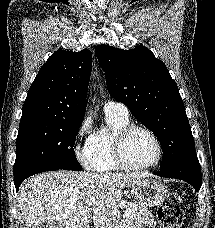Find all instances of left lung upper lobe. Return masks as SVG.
Segmentation results:
<instances>
[{
  "label": "left lung upper lobe",
  "instance_id": "1",
  "mask_svg": "<svg viewBox=\"0 0 215 228\" xmlns=\"http://www.w3.org/2000/svg\"><path fill=\"white\" fill-rule=\"evenodd\" d=\"M95 53L110 95L159 139L163 150L160 169L195 155L185 106L165 64L145 46L122 50L98 45Z\"/></svg>",
  "mask_w": 215,
  "mask_h": 228
}]
</instances>
